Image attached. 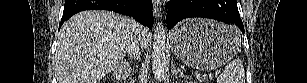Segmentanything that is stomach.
<instances>
[{
    "label": "stomach",
    "instance_id": "1",
    "mask_svg": "<svg viewBox=\"0 0 307 83\" xmlns=\"http://www.w3.org/2000/svg\"><path fill=\"white\" fill-rule=\"evenodd\" d=\"M173 54L188 66L209 70L236 55L241 34L234 26L208 19H191L171 32Z\"/></svg>",
    "mask_w": 307,
    "mask_h": 83
}]
</instances>
